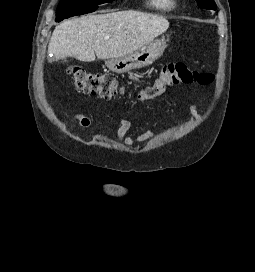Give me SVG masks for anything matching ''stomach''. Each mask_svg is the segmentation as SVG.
Segmentation results:
<instances>
[{
    "label": "stomach",
    "instance_id": "obj_1",
    "mask_svg": "<svg viewBox=\"0 0 255 272\" xmlns=\"http://www.w3.org/2000/svg\"><path fill=\"white\" fill-rule=\"evenodd\" d=\"M166 47L165 39L155 40L124 57L108 60L106 66L117 74L133 69H140L151 65L157 60L163 54Z\"/></svg>",
    "mask_w": 255,
    "mask_h": 272
}]
</instances>
